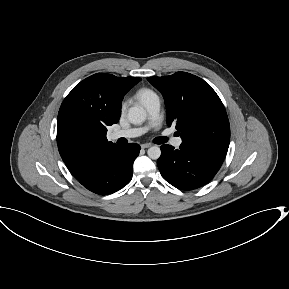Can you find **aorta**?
<instances>
[{"instance_id":"762f6f07","label":"aorta","mask_w":289,"mask_h":289,"mask_svg":"<svg viewBox=\"0 0 289 289\" xmlns=\"http://www.w3.org/2000/svg\"><path fill=\"white\" fill-rule=\"evenodd\" d=\"M147 113L141 106H134L128 110V119L132 124L138 125L146 120ZM149 158L157 160L161 156V149L158 146H152L147 151Z\"/></svg>"}]
</instances>
